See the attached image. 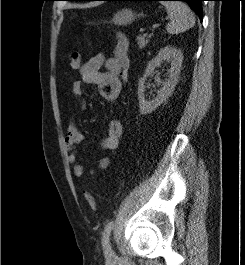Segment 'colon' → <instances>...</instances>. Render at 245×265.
Masks as SVG:
<instances>
[{
	"instance_id": "1",
	"label": "colon",
	"mask_w": 245,
	"mask_h": 265,
	"mask_svg": "<svg viewBox=\"0 0 245 265\" xmlns=\"http://www.w3.org/2000/svg\"><path fill=\"white\" fill-rule=\"evenodd\" d=\"M114 58L117 60L119 67H120V77L123 81H125L127 79L128 71L130 67V57H129L128 42L122 34H119L117 36V44H116ZM68 62H69V67L72 70H77L80 67V63H81L80 53L79 52L70 53L68 55ZM84 197L90 209L95 211L97 206H96V201L93 195L90 192L85 191Z\"/></svg>"
}]
</instances>
